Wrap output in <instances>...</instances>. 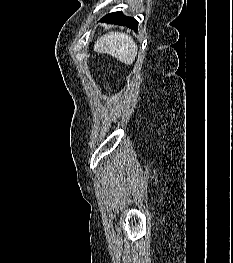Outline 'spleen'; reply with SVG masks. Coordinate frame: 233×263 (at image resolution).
I'll list each match as a JSON object with an SVG mask.
<instances>
[{"label":"spleen","instance_id":"obj_1","mask_svg":"<svg viewBox=\"0 0 233 263\" xmlns=\"http://www.w3.org/2000/svg\"><path fill=\"white\" fill-rule=\"evenodd\" d=\"M137 50L132 37L122 32H109L101 36L94 45L95 52L109 54L127 65L133 64Z\"/></svg>","mask_w":233,"mask_h":263}]
</instances>
